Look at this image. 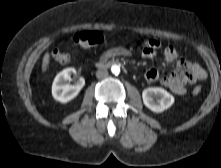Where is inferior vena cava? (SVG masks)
Masks as SVG:
<instances>
[{"label": "inferior vena cava", "mask_w": 221, "mask_h": 168, "mask_svg": "<svg viewBox=\"0 0 221 168\" xmlns=\"http://www.w3.org/2000/svg\"><path fill=\"white\" fill-rule=\"evenodd\" d=\"M108 76V71L106 69H99L96 72V77L102 79Z\"/></svg>", "instance_id": "1"}]
</instances>
